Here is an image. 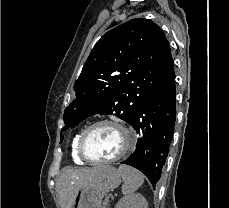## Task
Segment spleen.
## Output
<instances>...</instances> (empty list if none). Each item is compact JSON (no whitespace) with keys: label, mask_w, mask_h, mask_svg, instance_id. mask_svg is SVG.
Returning <instances> with one entry per match:
<instances>
[{"label":"spleen","mask_w":229,"mask_h":208,"mask_svg":"<svg viewBox=\"0 0 229 208\" xmlns=\"http://www.w3.org/2000/svg\"><path fill=\"white\" fill-rule=\"evenodd\" d=\"M119 172L124 182L122 186V194H125V196H128V194H133V192H136V190L142 186L144 182V176L141 174V172L135 170V168L121 164V166H119Z\"/></svg>","instance_id":"3e777b00"}]
</instances>
